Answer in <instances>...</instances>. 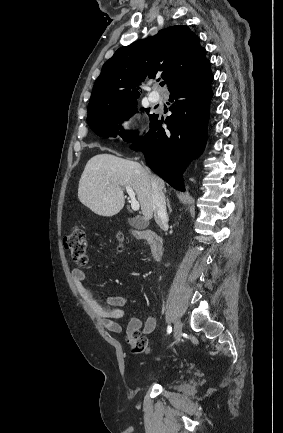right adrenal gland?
I'll return each instance as SVG.
<instances>
[{"label":"right adrenal gland","mask_w":283,"mask_h":433,"mask_svg":"<svg viewBox=\"0 0 283 433\" xmlns=\"http://www.w3.org/2000/svg\"><path fill=\"white\" fill-rule=\"evenodd\" d=\"M166 200H167V206L169 208V212H172V208L170 206V200H169V198H166Z\"/></svg>","instance_id":"1"}]
</instances>
